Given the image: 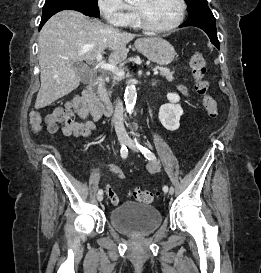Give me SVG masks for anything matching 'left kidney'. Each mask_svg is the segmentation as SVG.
Masks as SVG:
<instances>
[{
  "label": "left kidney",
  "instance_id": "1",
  "mask_svg": "<svg viewBox=\"0 0 261 273\" xmlns=\"http://www.w3.org/2000/svg\"><path fill=\"white\" fill-rule=\"evenodd\" d=\"M168 104H164L159 109V120L161 124L169 131H175L180 126V117L183 115V109L178 104L180 97L176 93H168Z\"/></svg>",
  "mask_w": 261,
  "mask_h": 273
}]
</instances>
